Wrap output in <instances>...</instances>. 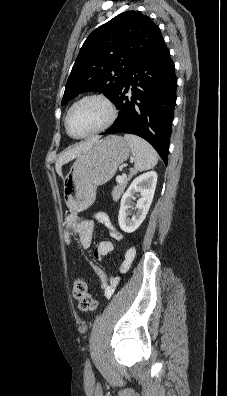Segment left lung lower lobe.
Here are the masks:
<instances>
[{
    "label": "left lung lower lobe",
    "mask_w": 227,
    "mask_h": 396,
    "mask_svg": "<svg viewBox=\"0 0 227 396\" xmlns=\"http://www.w3.org/2000/svg\"><path fill=\"white\" fill-rule=\"evenodd\" d=\"M130 85L131 94L126 96ZM176 86L175 66L162 37L129 71L113 101L120 110L118 118L101 134L138 135L148 141L167 164Z\"/></svg>",
    "instance_id": "0a47b994"
}]
</instances>
